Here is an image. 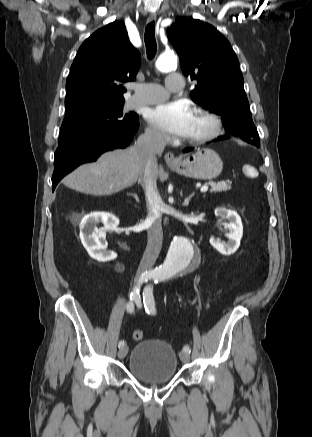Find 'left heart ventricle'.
<instances>
[{"label": "left heart ventricle", "instance_id": "obj_1", "mask_svg": "<svg viewBox=\"0 0 312 437\" xmlns=\"http://www.w3.org/2000/svg\"><path fill=\"white\" fill-rule=\"evenodd\" d=\"M207 128H208V123L204 119L194 114L191 131L186 136V139L193 138L195 136L202 134L207 130Z\"/></svg>", "mask_w": 312, "mask_h": 437}]
</instances>
